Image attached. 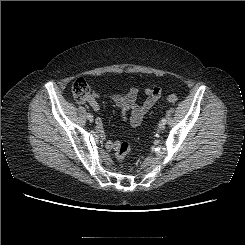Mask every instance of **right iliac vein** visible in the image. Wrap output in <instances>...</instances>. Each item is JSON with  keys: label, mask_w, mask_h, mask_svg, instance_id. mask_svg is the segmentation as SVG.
I'll list each match as a JSON object with an SVG mask.
<instances>
[{"label": "right iliac vein", "mask_w": 245, "mask_h": 245, "mask_svg": "<svg viewBox=\"0 0 245 245\" xmlns=\"http://www.w3.org/2000/svg\"><path fill=\"white\" fill-rule=\"evenodd\" d=\"M88 118V120L90 121V122H93V116H91V117H87Z\"/></svg>", "instance_id": "1"}]
</instances>
